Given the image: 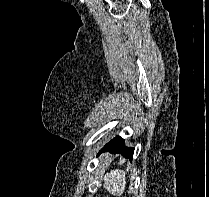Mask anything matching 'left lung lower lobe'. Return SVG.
I'll return each instance as SVG.
<instances>
[{
  "instance_id": "obj_1",
  "label": "left lung lower lobe",
  "mask_w": 209,
  "mask_h": 197,
  "mask_svg": "<svg viewBox=\"0 0 209 197\" xmlns=\"http://www.w3.org/2000/svg\"><path fill=\"white\" fill-rule=\"evenodd\" d=\"M103 151H109L114 154L119 153V154L123 155L125 158H129L130 160H132L134 148L125 147L124 139L117 136V137L113 138L110 142H108L102 148V150L99 152V154Z\"/></svg>"
}]
</instances>
